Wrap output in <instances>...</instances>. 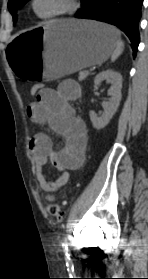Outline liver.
<instances>
[{
  "mask_svg": "<svg viewBox=\"0 0 148 279\" xmlns=\"http://www.w3.org/2000/svg\"><path fill=\"white\" fill-rule=\"evenodd\" d=\"M75 22H79L80 20H74Z\"/></svg>",
  "mask_w": 148,
  "mask_h": 279,
  "instance_id": "1",
  "label": "liver"
}]
</instances>
